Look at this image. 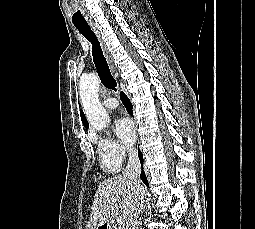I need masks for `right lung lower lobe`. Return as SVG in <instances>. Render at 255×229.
I'll use <instances>...</instances> for the list:
<instances>
[{"label":"right lung lower lobe","instance_id":"98d812e1","mask_svg":"<svg viewBox=\"0 0 255 229\" xmlns=\"http://www.w3.org/2000/svg\"><path fill=\"white\" fill-rule=\"evenodd\" d=\"M120 98H121V100H122L124 106L126 107V110L128 111V113H129L130 115H132V105H131L129 99L127 98V96H126L123 92H121V93H120ZM138 156H139V159H140L141 164L143 165V155H142V153H141L140 151L138 152ZM140 178L142 179V181H143L146 185H148V181H147V178H146V176H145L144 171H142V173H141V175H140Z\"/></svg>","mask_w":255,"mask_h":229}]
</instances>
